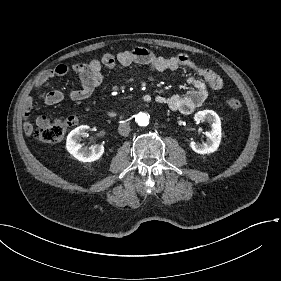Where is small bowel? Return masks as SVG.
I'll return each instance as SVG.
<instances>
[{
  "label": "small bowel",
  "mask_w": 281,
  "mask_h": 281,
  "mask_svg": "<svg viewBox=\"0 0 281 281\" xmlns=\"http://www.w3.org/2000/svg\"><path fill=\"white\" fill-rule=\"evenodd\" d=\"M117 64L129 66L132 64L145 65L156 72L175 71L180 68L192 70L195 75L190 76L187 80L192 87L185 94H156L151 99L156 104L166 106L173 112L190 114L197 109L208 97L210 90H219L223 86V79L215 71L199 66L194 63L186 54H178L171 57H164L154 54L144 48H135L130 51H121L115 55L104 54L99 59H93L87 63H75L71 70L79 75L81 87L71 90L68 97L72 100H84L88 98L93 91L100 86L103 80V70L113 69ZM69 68L60 64L53 69L43 72L35 83L38 89L47 81L54 77H60L67 74ZM65 93L60 90H51L38 94V99L47 105L58 104L65 99ZM33 98L28 96L25 100L23 109L24 130L27 134L33 130V123L28 120ZM36 122L43 125L47 122L44 113L36 114Z\"/></svg>",
  "instance_id": "obj_1"
}]
</instances>
